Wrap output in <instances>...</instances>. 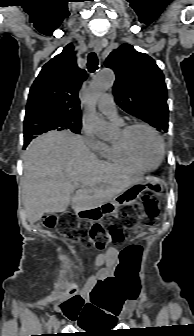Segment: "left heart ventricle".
Here are the masks:
<instances>
[{
	"label": "left heart ventricle",
	"mask_w": 194,
	"mask_h": 336,
	"mask_svg": "<svg viewBox=\"0 0 194 336\" xmlns=\"http://www.w3.org/2000/svg\"><path fill=\"white\" fill-rule=\"evenodd\" d=\"M131 142L138 157L149 165L156 164L160 159V146L152 132L137 128L131 134Z\"/></svg>",
	"instance_id": "left-heart-ventricle-1"
}]
</instances>
